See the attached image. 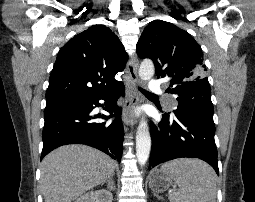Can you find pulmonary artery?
Here are the masks:
<instances>
[{"mask_svg": "<svg viewBox=\"0 0 255 202\" xmlns=\"http://www.w3.org/2000/svg\"><path fill=\"white\" fill-rule=\"evenodd\" d=\"M148 88H149L150 92H152V93L160 94V93L163 92L162 87H161V82L158 81V80H151L149 82ZM170 107L175 108L176 107V102L171 101L170 102Z\"/></svg>", "mask_w": 255, "mask_h": 202, "instance_id": "1", "label": "pulmonary artery"}]
</instances>
